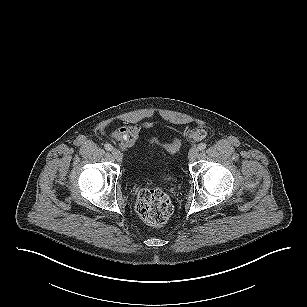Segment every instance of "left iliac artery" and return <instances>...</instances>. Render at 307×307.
Listing matches in <instances>:
<instances>
[{"label":"left iliac artery","mask_w":307,"mask_h":307,"mask_svg":"<svg viewBox=\"0 0 307 307\" xmlns=\"http://www.w3.org/2000/svg\"><path fill=\"white\" fill-rule=\"evenodd\" d=\"M206 144L205 143H200L199 145H198V149L200 150V151H202V150H204L205 148H206Z\"/></svg>","instance_id":"1"}]
</instances>
